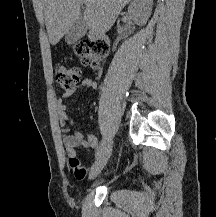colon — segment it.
<instances>
[{
    "label": "colon",
    "mask_w": 216,
    "mask_h": 217,
    "mask_svg": "<svg viewBox=\"0 0 216 217\" xmlns=\"http://www.w3.org/2000/svg\"><path fill=\"white\" fill-rule=\"evenodd\" d=\"M108 50V45L104 41H81L74 45V54L80 58L85 66L95 67L102 55ZM80 70L76 67L59 66L55 69V79L65 90H72L80 79ZM69 163L74 170L75 176H80V169L77 158H70Z\"/></svg>",
    "instance_id": "5ec220e1"
}]
</instances>
